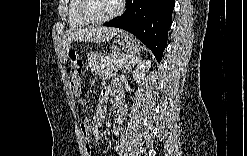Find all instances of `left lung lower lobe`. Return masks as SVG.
Returning <instances> with one entry per match:
<instances>
[{
  "label": "left lung lower lobe",
  "instance_id": "1",
  "mask_svg": "<svg viewBox=\"0 0 247 156\" xmlns=\"http://www.w3.org/2000/svg\"><path fill=\"white\" fill-rule=\"evenodd\" d=\"M174 6L175 0H128L126 11L103 25L134 34L160 62L167 44Z\"/></svg>",
  "mask_w": 247,
  "mask_h": 156
}]
</instances>
